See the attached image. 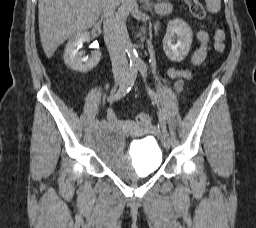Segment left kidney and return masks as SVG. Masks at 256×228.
<instances>
[{
  "instance_id": "obj_1",
  "label": "left kidney",
  "mask_w": 256,
  "mask_h": 228,
  "mask_svg": "<svg viewBox=\"0 0 256 228\" xmlns=\"http://www.w3.org/2000/svg\"><path fill=\"white\" fill-rule=\"evenodd\" d=\"M192 37V30L186 22L180 19L171 21L163 39V49L166 56L171 61L181 62L190 51ZM175 39H177L176 43Z\"/></svg>"
}]
</instances>
